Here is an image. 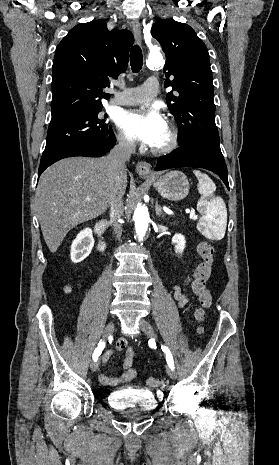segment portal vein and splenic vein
<instances>
[{
    "mask_svg": "<svg viewBox=\"0 0 279 465\" xmlns=\"http://www.w3.org/2000/svg\"><path fill=\"white\" fill-rule=\"evenodd\" d=\"M86 200H87V201H90V197H86ZM190 219H193V220L197 219V216H195V213H194V212H191V213H190Z\"/></svg>",
    "mask_w": 279,
    "mask_h": 465,
    "instance_id": "obj_1",
    "label": "portal vein and splenic vein"
}]
</instances>
